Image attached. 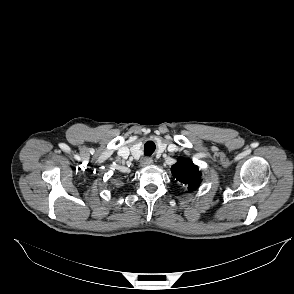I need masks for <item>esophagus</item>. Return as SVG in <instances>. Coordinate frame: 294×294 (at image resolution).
<instances>
[{
    "mask_svg": "<svg viewBox=\"0 0 294 294\" xmlns=\"http://www.w3.org/2000/svg\"><path fill=\"white\" fill-rule=\"evenodd\" d=\"M152 164H153V159L152 158L146 157V158H144L142 160V165L143 166H149V165H152Z\"/></svg>",
    "mask_w": 294,
    "mask_h": 294,
    "instance_id": "1",
    "label": "esophagus"
}]
</instances>
